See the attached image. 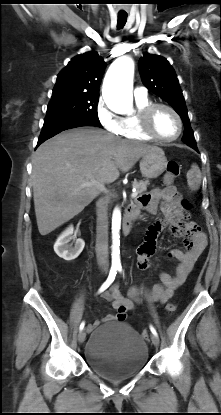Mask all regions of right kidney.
<instances>
[{"mask_svg":"<svg viewBox=\"0 0 221 415\" xmlns=\"http://www.w3.org/2000/svg\"><path fill=\"white\" fill-rule=\"evenodd\" d=\"M74 227L69 226L57 239L54 244L55 253L66 261H71L77 258L82 252L85 242L82 239H77L74 247L68 245L73 237Z\"/></svg>","mask_w":221,"mask_h":415,"instance_id":"obj_1","label":"right kidney"}]
</instances>
